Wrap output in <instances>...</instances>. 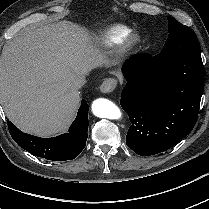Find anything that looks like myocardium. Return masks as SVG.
<instances>
[{
    "mask_svg": "<svg viewBox=\"0 0 209 209\" xmlns=\"http://www.w3.org/2000/svg\"><path fill=\"white\" fill-rule=\"evenodd\" d=\"M139 41V37L135 33H129L119 40V48L121 51H125L134 47Z\"/></svg>",
    "mask_w": 209,
    "mask_h": 209,
    "instance_id": "f54148a6",
    "label": "myocardium"
}]
</instances>
